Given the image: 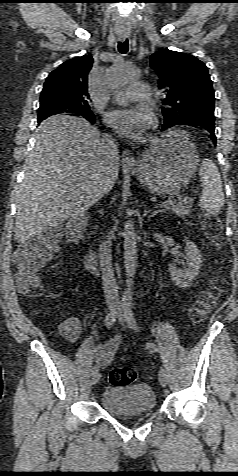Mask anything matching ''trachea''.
Returning <instances> with one entry per match:
<instances>
[{"mask_svg": "<svg viewBox=\"0 0 238 476\" xmlns=\"http://www.w3.org/2000/svg\"><path fill=\"white\" fill-rule=\"evenodd\" d=\"M128 49H129L128 40H125L124 42H119L118 43V51L121 54H126L128 52Z\"/></svg>", "mask_w": 238, "mask_h": 476, "instance_id": "1", "label": "trachea"}]
</instances>
